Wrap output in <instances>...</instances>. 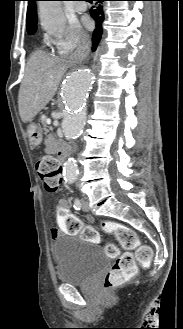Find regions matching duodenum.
<instances>
[{"label":"duodenum","mask_w":183,"mask_h":329,"mask_svg":"<svg viewBox=\"0 0 183 329\" xmlns=\"http://www.w3.org/2000/svg\"><path fill=\"white\" fill-rule=\"evenodd\" d=\"M68 146H67V144L66 143H61L60 144V147H59V149H58V151H57V154L59 155V160H60V162L63 164L64 163V161H65V157H66V154H67V152H68Z\"/></svg>","instance_id":"410a0bca"}]
</instances>
